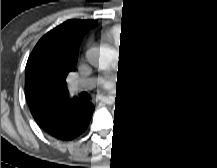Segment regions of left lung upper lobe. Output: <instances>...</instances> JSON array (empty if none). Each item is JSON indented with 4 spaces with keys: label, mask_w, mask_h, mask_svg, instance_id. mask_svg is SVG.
<instances>
[{
    "label": "left lung upper lobe",
    "mask_w": 217,
    "mask_h": 168,
    "mask_svg": "<svg viewBox=\"0 0 217 168\" xmlns=\"http://www.w3.org/2000/svg\"><path fill=\"white\" fill-rule=\"evenodd\" d=\"M151 51V67L141 87L152 100L178 109L183 98L184 74L180 48L166 28L145 22Z\"/></svg>",
    "instance_id": "1"
}]
</instances>
